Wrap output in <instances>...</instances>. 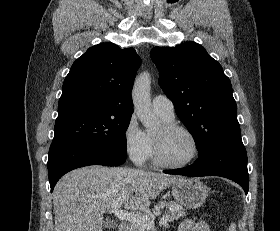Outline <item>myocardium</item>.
I'll return each instance as SVG.
<instances>
[{"label":"myocardium","mask_w":280,"mask_h":231,"mask_svg":"<svg viewBox=\"0 0 280 231\" xmlns=\"http://www.w3.org/2000/svg\"><path fill=\"white\" fill-rule=\"evenodd\" d=\"M163 125L166 130H170V131L177 130V131H183V132L187 133L193 139V142L195 144V153L191 159H189L185 162H180V163L172 162L164 156L159 139L154 137L153 141H154L155 161L159 165H161L163 167H168V168H183V167L192 165L199 158L200 153H201V143H200V140H199L198 136L196 135V133L191 128H189L183 124L173 122V121L165 122Z\"/></svg>","instance_id":"obj_1"}]
</instances>
